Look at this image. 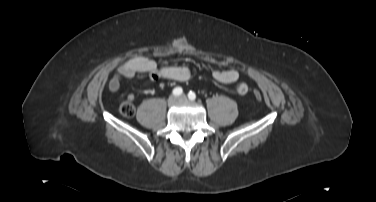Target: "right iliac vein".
Segmentation results:
<instances>
[{
	"instance_id": "right-iliac-vein-1",
	"label": "right iliac vein",
	"mask_w": 376,
	"mask_h": 202,
	"mask_svg": "<svg viewBox=\"0 0 376 202\" xmlns=\"http://www.w3.org/2000/svg\"><path fill=\"white\" fill-rule=\"evenodd\" d=\"M177 101V98L175 96H170L168 99V105L173 106Z\"/></svg>"
}]
</instances>
